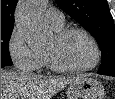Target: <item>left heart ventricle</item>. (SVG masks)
I'll return each instance as SVG.
<instances>
[{
  "label": "left heart ventricle",
  "mask_w": 115,
  "mask_h": 99,
  "mask_svg": "<svg viewBox=\"0 0 115 99\" xmlns=\"http://www.w3.org/2000/svg\"><path fill=\"white\" fill-rule=\"evenodd\" d=\"M45 51L50 52L58 63L71 67L88 65L94 56L91 43L80 33L70 34L61 41L54 36Z\"/></svg>",
  "instance_id": "1"
}]
</instances>
